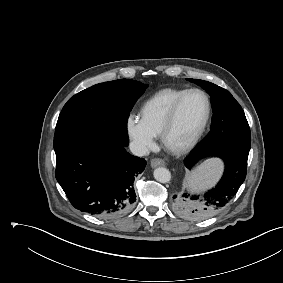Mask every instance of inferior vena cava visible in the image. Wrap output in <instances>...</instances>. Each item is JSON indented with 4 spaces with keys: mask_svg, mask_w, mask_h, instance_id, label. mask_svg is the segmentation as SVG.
Masks as SVG:
<instances>
[{
    "mask_svg": "<svg viewBox=\"0 0 283 283\" xmlns=\"http://www.w3.org/2000/svg\"><path fill=\"white\" fill-rule=\"evenodd\" d=\"M129 148L131 152L136 156H144L149 152L148 148L145 145L138 142H131L129 144Z\"/></svg>",
    "mask_w": 283,
    "mask_h": 283,
    "instance_id": "1",
    "label": "inferior vena cava"
}]
</instances>
